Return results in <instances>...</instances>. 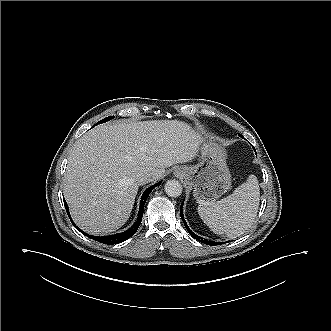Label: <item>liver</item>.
I'll return each instance as SVG.
<instances>
[{
    "label": "liver",
    "instance_id": "obj_1",
    "mask_svg": "<svg viewBox=\"0 0 331 331\" xmlns=\"http://www.w3.org/2000/svg\"><path fill=\"white\" fill-rule=\"evenodd\" d=\"M201 137L187 123L154 120L100 125L74 145L64 175V196L74 222L104 235L129 219L143 174L160 179L165 168L190 162Z\"/></svg>",
    "mask_w": 331,
    "mask_h": 331
}]
</instances>
